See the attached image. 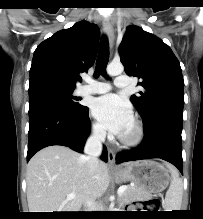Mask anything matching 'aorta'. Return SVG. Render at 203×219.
Masks as SVG:
<instances>
[{"instance_id": "aorta-1", "label": "aorta", "mask_w": 203, "mask_h": 219, "mask_svg": "<svg viewBox=\"0 0 203 219\" xmlns=\"http://www.w3.org/2000/svg\"><path fill=\"white\" fill-rule=\"evenodd\" d=\"M123 71L124 67L120 62H112L106 68V72L110 76L120 75Z\"/></svg>"}]
</instances>
